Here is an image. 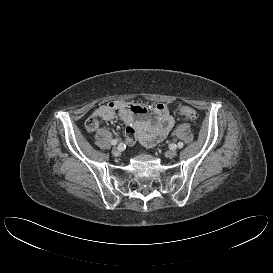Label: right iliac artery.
I'll return each instance as SVG.
<instances>
[{
    "label": "right iliac artery",
    "mask_w": 273,
    "mask_h": 273,
    "mask_svg": "<svg viewBox=\"0 0 273 273\" xmlns=\"http://www.w3.org/2000/svg\"><path fill=\"white\" fill-rule=\"evenodd\" d=\"M118 143V140L117 139H113L112 141H111V144L112 145H116Z\"/></svg>",
    "instance_id": "1"
}]
</instances>
